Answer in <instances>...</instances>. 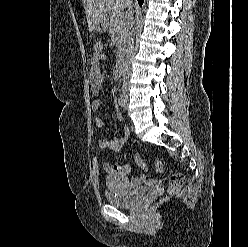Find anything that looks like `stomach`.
Segmentation results:
<instances>
[{"mask_svg":"<svg viewBox=\"0 0 248 247\" xmlns=\"http://www.w3.org/2000/svg\"><path fill=\"white\" fill-rule=\"evenodd\" d=\"M107 27H108V16L104 15L96 23L94 27V31H96L97 33H104L107 30Z\"/></svg>","mask_w":248,"mask_h":247,"instance_id":"1","label":"stomach"}]
</instances>
